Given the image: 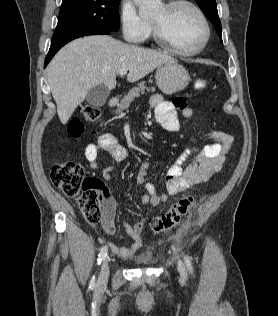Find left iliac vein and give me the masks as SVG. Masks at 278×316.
Returning <instances> with one entry per match:
<instances>
[{
  "mask_svg": "<svg viewBox=\"0 0 278 316\" xmlns=\"http://www.w3.org/2000/svg\"><path fill=\"white\" fill-rule=\"evenodd\" d=\"M178 270L182 275L185 274V267L182 262H178Z\"/></svg>",
  "mask_w": 278,
  "mask_h": 316,
  "instance_id": "1",
  "label": "left iliac vein"
}]
</instances>
